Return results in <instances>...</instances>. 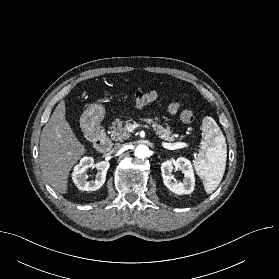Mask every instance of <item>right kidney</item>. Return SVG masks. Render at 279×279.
Returning a JSON list of instances; mask_svg holds the SVG:
<instances>
[{"label":"right kidney","mask_w":279,"mask_h":279,"mask_svg":"<svg viewBox=\"0 0 279 279\" xmlns=\"http://www.w3.org/2000/svg\"><path fill=\"white\" fill-rule=\"evenodd\" d=\"M109 167L110 163L107 161H101L95 164L92 157H83L80 163L74 167L72 173L73 182L81 191H96L105 183ZM89 168H96L98 170L95 180H87L88 176L86 172Z\"/></svg>","instance_id":"right-kidney-1"}]
</instances>
